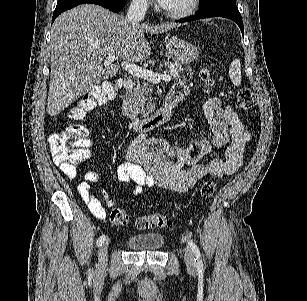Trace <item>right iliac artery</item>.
<instances>
[{"mask_svg": "<svg viewBox=\"0 0 307 301\" xmlns=\"http://www.w3.org/2000/svg\"><path fill=\"white\" fill-rule=\"evenodd\" d=\"M106 240V235H101L97 240V246L102 245V243Z\"/></svg>", "mask_w": 307, "mask_h": 301, "instance_id": "obj_1", "label": "right iliac artery"}]
</instances>
